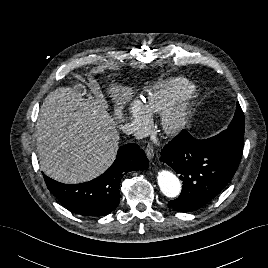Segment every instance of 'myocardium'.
Here are the masks:
<instances>
[{
  "label": "myocardium",
  "mask_w": 268,
  "mask_h": 268,
  "mask_svg": "<svg viewBox=\"0 0 268 268\" xmlns=\"http://www.w3.org/2000/svg\"><path fill=\"white\" fill-rule=\"evenodd\" d=\"M192 94V89L183 93L162 113L161 124L166 133H178L189 123L191 116Z\"/></svg>",
  "instance_id": "myocardium-1"
}]
</instances>
